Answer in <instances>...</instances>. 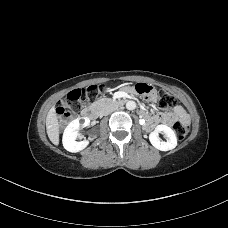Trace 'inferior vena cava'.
Wrapping results in <instances>:
<instances>
[{"label":"inferior vena cava","instance_id":"602c4592","mask_svg":"<svg viewBox=\"0 0 228 228\" xmlns=\"http://www.w3.org/2000/svg\"><path fill=\"white\" fill-rule=\"evenodd\" d=\"M116 109H117L116 106L107 107L106 109L103 110L102 114L108 115V114L112 113L113 111H115Z\"/></svg>","mask_w":228,"mask_h":228}]
</instances>
